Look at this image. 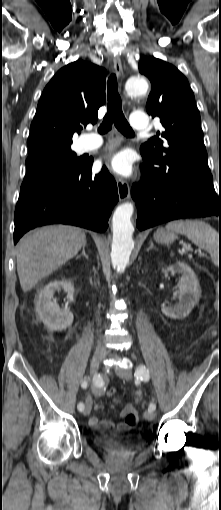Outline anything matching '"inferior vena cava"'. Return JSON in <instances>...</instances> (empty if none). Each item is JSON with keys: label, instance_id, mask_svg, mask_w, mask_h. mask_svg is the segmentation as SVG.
<instances>
[{"label": "inferior vena cava", "instance_id": "inferior-vena-cava-1", "mask_svg": "<svg viewBox=\"0 0 221 510\" xmlns=\"http://www.w3.org/2000/svg\"><path fill=\"white\" fill-rule=\"evenodd\" d=\"M99 323H100V322H99ZM97 350H98V351L105 352V348L101 345V343H100V342L98 343Z\"/></svg>", "mask_w": 221, "mask_h": 510}]
</instances>
